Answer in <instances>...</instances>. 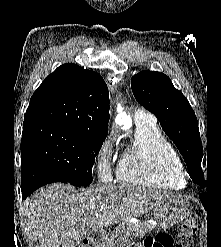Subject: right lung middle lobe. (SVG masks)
<instances>
[{
  "instance_id": "obj_1",
  "label": "right lung middle lobe",
  "mask_w": 221,
  "mask_h": 247,
  "mask_svg": "<svg viewBox=\"0 0 221 247\" xmlns=\"http://www.w3.org/2000/svg\"><path fill=\"white\" fill-rule=\"evenodd\" d=\"M105 136L70 126L23 129L21 155L47 167L69 184L89 185Z\"/></svg>"
}]
</instances>
